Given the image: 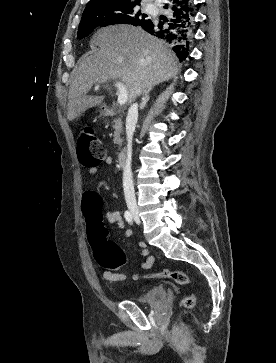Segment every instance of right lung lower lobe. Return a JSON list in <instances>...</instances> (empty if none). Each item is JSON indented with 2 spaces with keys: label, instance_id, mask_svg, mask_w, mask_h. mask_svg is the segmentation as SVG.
I'll list each match as a JSON object with an SVG mask.
<instances>
[{
  "label": "right lung lower lobe",
  "instance_id": "1",
  "mask_svg": "<svg viewBox=\"0 0 276 363\" xmlns=\"http://www.w3.org/2000/svg\"><path fill=\"white\" fill-rule=\"evenodd\" d=\"M164 7L171 11L168 18H161L162 21L158 22H145L142 28L165 40L179 59L185 60L194 27L193 0H169Z\"/></svg>",
  "mask_w": 276,
  "mask_h": 363
}]
</instances>
